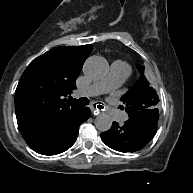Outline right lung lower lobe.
<instances>
[{
	"mask_svg": "<svg viewBox=\"0 0 193 193\" xmlns=\"http://www.w3.org/2000/svg\"><path fill=\"white\" fill-rule=\"evenodd\" d=\"M90 117V109L84 107L81 114L59 135L56 139L31 145L30 147L39 154L56 155L70 148L78 135L79 126Z\"/></svg>",
	"mask_w": 193,
	"mask_h": 193,
	"instance_id": "98d812e1",
	"label": "right lung lower lobe"
}]
</instances>
